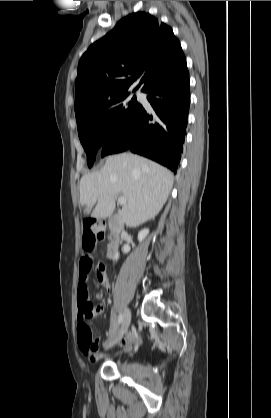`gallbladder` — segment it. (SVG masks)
Wrapping results in <instances>:
<instances>
[{"instance_id": "1", "label": "gallbladder", "mask_w": 271, "mask_h": 418, "mask_svg": "<svg viewBox=\"0 0 271 418\" xmlns=\"http://www.w3.org/2000/svg\"><path fill=\"white\" fill-rule=\"evenodd\" d=\"M109 223L111 225V227H115L118 229V224L116 222V214H112L109 218Z\"/></svg>"}]
</instances>
